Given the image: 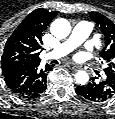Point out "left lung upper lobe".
I'll return each mask as SVG.
<instances>
[{
    "mask_svg": "<svg viewBox=\"0 0 115 119\" xmlns=\"http://www.w3.org/2000/svg\"><path fill=\"white\" fill-rule=\"evenodd\" d=\"M89 15L100 30L105 43L104 50L100 53L107 63L104 71L106 75L115 77V24L98 12H90Z\"/></svg>",
    "mask_w": 115,
    "mask_h": 119,
    "instance_id": "left-lung-upper-lobe-1",
    "label": "left lung upper lobe"
}]
</instances>
